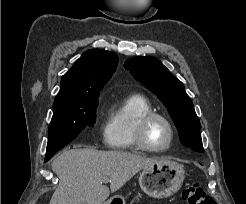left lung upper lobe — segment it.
Listing matches in <instances>:
<instances>
[{
    "mask_svg": "<svg viewBox=\"0 0 246 204\" xmlns=\"http://www.w3.org/2000/svg\"><path fill=\"white\" fill-rule=\"evenodd\" d=\"M124 67L163 102L178 129L181 143L196 152H204L200 122L182 82L154 57L130 58Z\"/></svg>",
    "mask_w": 246,
    "mask_h": 204,
    "instance_id": "left-lung-upper-lobe-1",
    "label": "left lung upper lobe"
}]
</instances>
